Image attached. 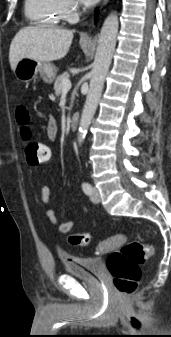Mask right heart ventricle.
Segmentation results:
<instances>
[{
  "instance_id": "right-heart-ventricle-1",
  "label": "right heart ventricle",
  "mask_w": 171,
  "mask_h": 337,
  "mask_svg": "<svg viewBox=\"0 0 171 337\" xmlns=\"http://www.w3.org/2000/svg\"><path fill=\"white\" fill-rule=\"evenodd\" d=\"M24 11L26 17L37 25L54 26L62 20L57 0H25Z\"/></svg>"
}]
</instances>
